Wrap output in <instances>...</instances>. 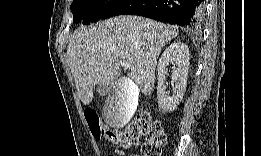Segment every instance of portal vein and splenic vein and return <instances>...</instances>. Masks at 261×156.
Masks as SVG:
<instances>
[{"mask_svg":"<svg viewBox=\"0 0 261 156\" xmlns=\"http://www.w3.org/2000/svg\"><path fill=\"white\" fill-rule=\"evenodd\" d=\"M119 65H121L122 67H125V68H129L130 67V64L127 61H120Z\"/></svg>","mask_w":261,"mask_h":156,"instance_id":"1","label":"portal vein and splenic vein"}]
</instances>
